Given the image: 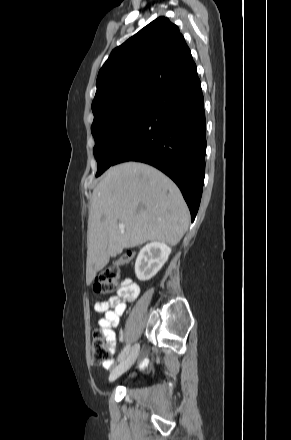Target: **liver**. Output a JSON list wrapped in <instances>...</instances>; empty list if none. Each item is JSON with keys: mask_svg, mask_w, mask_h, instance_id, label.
<instances>
[{"mask_svg": "<svg viewBox=\"0 0 291 440\" xmlns=\"http://www.w3.org/2000/svg\"><path fill=\"white\" fill-rule=\"evenodd\" d=\"M124 224V229L118 225ZM190 223L188 207L175 183L137 162L110 167L94 188L87 231L86 281L123 249L147 241L175 246Z\"/></svg>", "mask_w": 291, "mask_h": 440, "instance_id": "1", "label": "liver"}]
</instances>
